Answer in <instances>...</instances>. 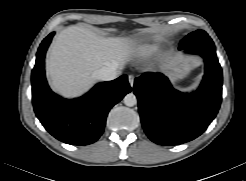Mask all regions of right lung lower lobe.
<instances>
[{"instance_id":"right-lung-lower-lobe-1","label":"right lung lower lobe","mask_w":246,"mask_h":181,"mask_svg":"<svg viewBox=\"0 0 246 181\" xmlns=\"http://www.w3.org/2000/svg\"><path fill=\"white\" fill-rule=\"evenodd\" d=\"M53 35L42 41L31 74L35 114L45 129L64 143H94L103 133L109 110L131 91L127 76L99 83L78 99H63L50 90L44 72V58Z\"/></svg>"}]
</instances>
